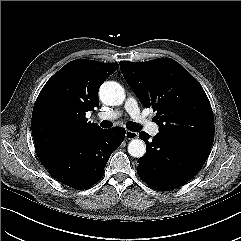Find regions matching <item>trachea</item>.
Segmentation results:
<instances>
[{"instance_id": "obj_1", "label": "trachea", "mask_w": 241, "mask_h": 241, "mask_svg": "<svg viewBox=\"0 0 241 241\" xmlns=\"http://www.w3.org/2000/svg\"><path fill=\"white\" fill-rule=\"evenodd\" d=\"M112 122H110V121H102L101 122V124H100V126L101 127H103V128H110V127H112ZM126 126H127V128L129 129V130H131V131H139L140 130V126L139 125H137L136 123H134V122H128L127 124H126Z\"/></svg>"}]
</instances>
